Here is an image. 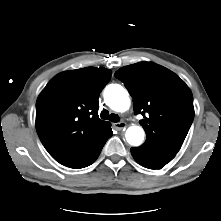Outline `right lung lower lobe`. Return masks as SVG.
<instances>
[{"label": "right lung lower lobe", "instance_id": "98d812e1", "mask_svg": "<svg viewBox=\"0 0 221 221\" xmlns=\"http://www.w3.org/2000/svg\"><path fill=\"white\" fill-rule=\"evenodd\" d=\"M113 135L112 129L109 127L100 137L88 144L83 150L63 165L79 169L91 165L99 156L106 141Z\"/></svg>", "mask_w": 221, "mask_h": 221}]
</instances>
